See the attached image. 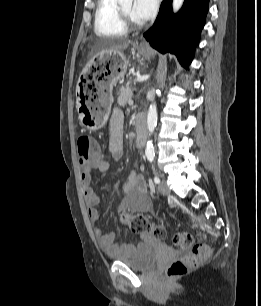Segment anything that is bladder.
Listing matches in <instances>:
<instances>
[{"instance_id": "1", "label": "bladder", "mask_w": 261, "mask_h": 306, "mask_svg": "<svg viewBox=\"0 0 261 306\" xmlns=\"http://www.w3.org/2000/svg\"><path fill=\"white\" fill-rule=\"evenodd\" d=\"M107 258L141 271L150 269L158 261L154 242L149 239H143L123 254H112L108 255Z\"/></svg>"}]
</instances>
